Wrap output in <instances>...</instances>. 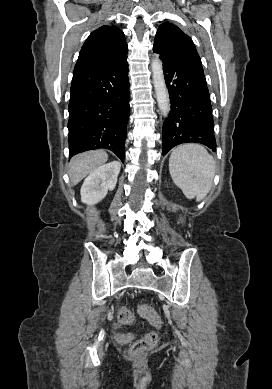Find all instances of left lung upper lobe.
<instances>
[{
    "mask_svg": "<svg viewBox=\"0 0 272 389\" xmlns=\"http://www.w3.org/2000/svg\"><path fill=\"white\" fill-rule=\"evenodd\" d=\"M153 51L159 53L167 61L202 64L192 39L180 28L169 22L159 26Z\"/></svg>",
    "mask_w": 272,
    "mask_h": 389,
    "instance_id": "obj_1",
    "label": "left lung upper lobe"
}]
</instances>
